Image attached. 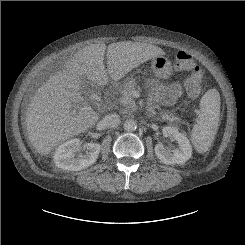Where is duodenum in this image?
<instances>
[{
	"label": "duodenum",
	"instance_id": "obj_1",
	"mask_svg": "<svg viewBox=\"0 0 245 245\" xmlns=\"http://www.w3.org/2000/svg\"><path fill=\"white\" fill-rule=\"evenodd\" d=\"M109 111H110V112H111V111H114V107L110 106V107H109Z\"/></svg>",
	"mask_w": 245,
	"mask_h": 245
}]
</instances>
